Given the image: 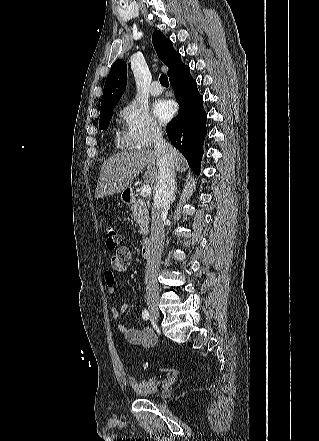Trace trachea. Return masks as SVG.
<instances>
[{"instance_id":"obj_1","label":"trachea","mask_w":319,"mask_h":441,"mask_svg":"<svg viewBox=\"0 0 319 441\" xmlns=\"http://www.w3.org/2000/svg\"><path fill=\"white\" fill-rule=\"evenodd\" d=\"M160 83H161L162 86L168 87L169 86L168 77L166 75L162 74L160 76Z\"/></svg>"}]
</instances>
